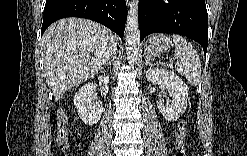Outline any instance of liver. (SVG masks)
<instances>
[{
	"label": "liver",
	"instance_id": "1",
	"mask_svg": "<svg viewBox=\"0 0 247 156\" xmlns=\"http://www.w3.org/2000/svg\"><path fill=\"white\" fill-rule=\"evenodd\" d=\"M116 41L109 29L86 19L66 18L50 25L43 34L42 49L46 82L55 101L94 77Z\"/></svg>",
	"mask_w": 247,
	"mask_h": 156
}]
</instances>
